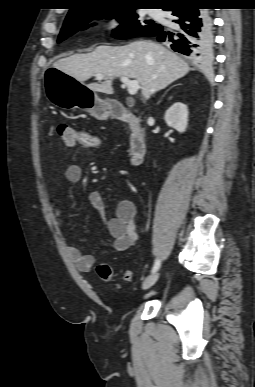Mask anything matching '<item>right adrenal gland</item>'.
I'll list each match as a JSON object with an SVG mask.
<instances>
[{
	"label": "right adrenal gland",
	"instance_id": "1",
	"mask_svg": "<svg viewBox=\"0 0 255 387\" xmlns=\"http://www.w3.org/2000/svg\"><path fill=\"white\" fill-rule=\"evenodd\" d=\"M173 87H174V86H173ZM169 90H170V89H168V90L165 92V94H166ZM165 94H164V95H165Z\"/></svg>",
	"mask_w": 255,
	"mask_h": 387
}]
</instances>
